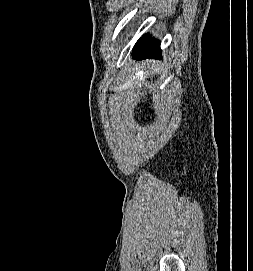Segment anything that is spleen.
I'll list each match as a JSON object with an SVG mask.
<instances>
[{
	"label": "spleen",
	"mask_w": 253,
	"mask_h": 271,
	"mask_svg": "<svg viewBox=\"0 0 253 271\" xmlns=\"http://www.w3.org/2000/svg\"><path fill=\"white\" fill-rule=\"evenodd\" d=\"M149 73H150V74H151V73L154 74V73H155V70L153 69V70H151Z\"/></svg>",
	"instance_id": "obj_1"
}]
</instances>
